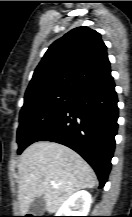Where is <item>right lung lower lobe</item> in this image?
Returning a JSON list of instances; mask_svg holds the SVG:
<instances>
[{"instance_id": "right-lung-lower-lobe-1", "label": "right lung lower lobe", "mask_w": 132, "mask_h": 217, "mask_svg": "<svg viewBox=\"0 0 132 217\" xmlns=\"http://www.w3.org/2000/svg\"><path fill=\"white\" fill-rule=\"evenodd\" d=\"M117 102L113 78L80 92L37 141L56 142L75 150L93 167L102 188L115 148Z\"/></svg>"}]
</instances>
